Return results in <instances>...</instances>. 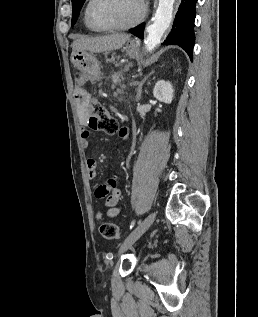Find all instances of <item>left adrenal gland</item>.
I'll return each instance as SVG.
<instances>
[{"label": "left adrenal gland", "mask_w": 258, "mask_h": 317, "mask_svg": "<svg viewBox=\"0 0 258 317\" xmlns=\"http://www.w3.org/2000/svg\"><path fill=\"white\" fill-rule=\"evenodd\" d=\"M153 72H154V70H152V72H149V74H147V76H144L143 80H140V82H135V84H138L136 100H140L141 94H142V86H143L144 82H146L147 78H149V76H151V74H153Z\"/></svg>", "instance_id": "a2214340"}]
</instances>
